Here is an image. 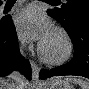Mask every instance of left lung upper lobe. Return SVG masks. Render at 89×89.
Here are the masks:
<instances>
[{"label": "left lung upper lobe", "mask_w": 89, "mask_h": 89, "mask_svg": "<svg viewBox=\"0 0 89 89\" xmlns=\"http://www.w3.org/2000/svg\"><path fill=\"white\" fill-rule=\"evenodd\" d=\"M59 4L57 1L55 5ZM49 10L65 30H71L80 21H89V0H66L60 8Z\"/></svg>", "instance_id": "obj_1"}]
</instances>
